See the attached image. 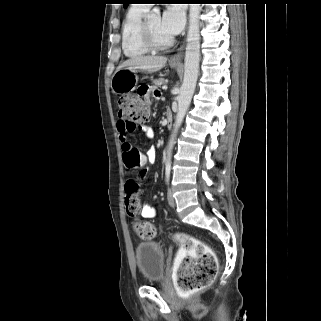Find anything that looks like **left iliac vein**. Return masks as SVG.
<instances>
[{"label":"left iliac vein","instance_id":"4c4485c4","mask_svg":"<svg viewBox=\"0 0 321 321\" xmlns=\"http://www.w3.org/2000/svg\"><path fill=\"white\" fill-rule=\"evenodd\" d=\"M167 199H168L169 205H170L171 207H174V206H175V199H174V197H173V194H172V191H171L170 188L168 189Z\"/></svg>","mask_w":321,"mask_h":321}]
</instances>
